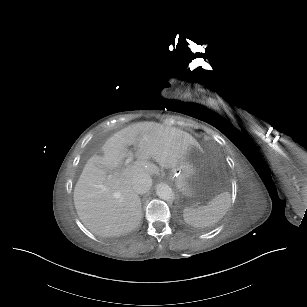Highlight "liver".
<instances>
[{
	"label": "liver",
	"mask_w": 307,
	"mask_h": 307,
	"mask_svg": "<svg viewBox=\"0 0 307 307\" xmlns=\"http://www.w3.org/2000/svg\"><path fill=\"white\" fill-rule=\"evenodd\" d=\"M138 145L137 161L121 168ZM197 141L187 132L156 122H139L115 133L85 164L74 189V204L83 224L100 236H116L135 229L141 221V199L132 189L140 174L159 175L161 168L175 169ZM109 171L112 173L109 174Z\"/></svg>",
	"instance_id": "6515ba94"
}]
</instances>
